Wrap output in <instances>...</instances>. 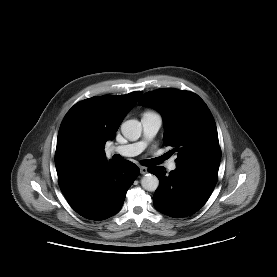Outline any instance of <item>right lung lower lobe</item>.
<instances>
[{
	"label": "right lung lower lobe",
	"instance_id": "right-lung-lower-lobe-1",
	"mask_svg": "<svg viewBox=\"0 0 277 277\" xmlns=\"http://www.w3.org/2000/svg\"><path fill=\"white\" fill-rule=\"evenodd\" d=\"M132 162L101 163L59 179V186L69 205L90 220H104L122 207L126 192L139 175Z\"/></svg>",
	"mask_w": 277,
	"mask_h": 277
}]
</instances>
